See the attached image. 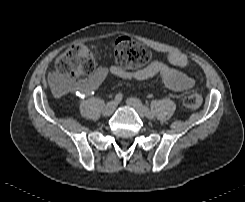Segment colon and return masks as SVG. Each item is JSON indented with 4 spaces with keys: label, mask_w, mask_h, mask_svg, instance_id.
Returning a JSON list of instances; mask_svg holds the SVG:
<instances>
[{
    "label": "colon",
    "mask_w": 245,
    "mask_h": 202,
    "mask_svg": "<svg viewBox=\"0 0 245 202\" xmlns=\"http://www.w3.org/2000/svg\"><path fill=\"white\" fill-rule=\"evenodd\" d=\"M114 56L118 65L125 70L144 67L151 58L150 50L130 36H122L114 42ZM95 68V60L86 45L70 46L55 61L54 82L63 91L76 89L77 79L90 75ZM202 101L200 93L188 95L183 102L187 110L197 109Z\"/></svg>",
    "instance_id": "colon-1"
}]
</instances>
